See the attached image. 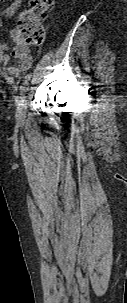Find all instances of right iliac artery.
Returning <instances> with one entry per match:
<instances>
[{
    "mask_svg": "<svg viewBox=\"0 0 127 303\" xmlns=\"http://www.w3.org/2000/svg\"><path fill=\"white\" fill-rule=\"evenodd\" d=\"M30 75H27L25 77V80H24V83L23 85L20 87V91H21V95H24L26 94V92L28 91L29 89V81H30Z\"/></svg>",
    "mask_w": 127,
    "mask_h": 303,
    "instance_id": "82829eb1",
    "label": "right iliac artery"
}]
</instances>
